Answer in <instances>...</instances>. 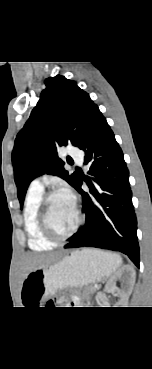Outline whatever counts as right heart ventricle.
<instances>
[{"instance_id": "1", "label": "right heart ventricle", "mask_w": 152, "mask_h": 369, "mask_svg": "<svg viewBox=\"0 0 152 369\" xmlns=\"http://www.w3.org/2000/svg\"><path fill=\"white\" fill-rule=\"evenodd\" d=\"M43 197V190L29 188L24 202V228L28 238V245L32 250H49L55 243L48 240L42 233L39 225V208Z\"/></svg>"}]
</instances>
